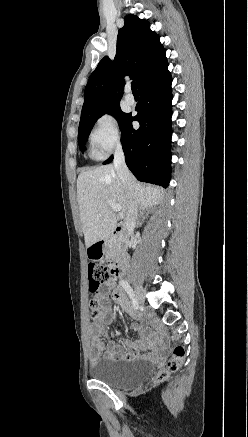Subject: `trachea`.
<instances>
[{
  "instance_id": "1",
  "label": "trachea",
  "mask_w": 248,
  "mask_h": 437,
  "mask_svg": "<svg viewBox=\"0 0 248 437\" xmlns=\"http://www.w3.org/2000/svg\"><path fill=\"white\" fill-rule=\"evenodd\" d=\"M131 88H132V92H133V93L138 92V91H137V87H136V82L133 81V82L131 83Z\"/></svg>"
}]
</instances>
